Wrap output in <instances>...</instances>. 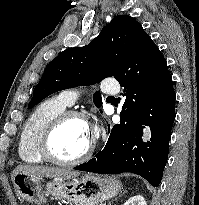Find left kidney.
I'll use <instances>...</instances> for the list:
<instances>
[{
  "instance_id": "left-kidney-1",
  "label": "left kidney",
  "mask_w": 199,
  "mask_h": 205,
  "mask_svg": "<svg viewBox=\"0 0 199 205\" xmlns=\"http://www.w3.org/2000/svg\"><path fill=\"white\" fill-rule=\"evenodd\" d=\"M123 205H147V204L143 196L136 195L129 198Z\"/></svg>"
}]
</instances>
